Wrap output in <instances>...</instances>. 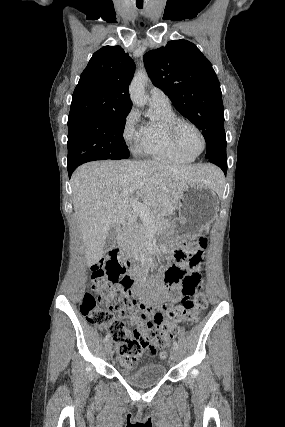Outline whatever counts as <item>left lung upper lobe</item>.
<instances>
[{"label":"left lung upper lobe","instance_id":"obj_1","mask_svg":"<svg viewBox=\"0 0 285 427\" xmlns=\"http://www.w3.org/2000/svg\"><path fill=\"white\" fill-rule=\"evenodd\" d=\"M152 83L176 109L201 130L208 159L226 148L224 108L220 83L211 63L187 40L169 41L144 55Z\"/></svg>","mask_w":285,"mask_h":427}]
</instances>
